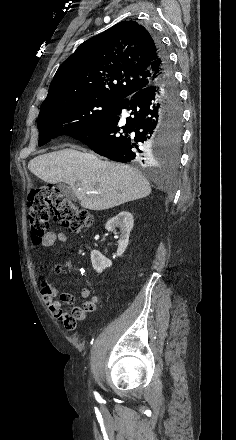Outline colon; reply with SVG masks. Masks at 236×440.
<instances>
[{"mask_svg": "<svg viewBox=\"0 0 236 440\" xmlns=\"http://www.w3.org/2000/svg\"><path fill=\"white\" fill-rule=\"evenodd\" d=\"M70 231L79 233L91 225L92 214L74 201L63 195L57 188L50 185L38 186L31 190L28 197V213L32 231V241L39 244L49 228L50 212ZM57 266L56 270L60 271ZM49 291L51 287L48 286ZM64 321H75L67 315Z\"/></svg>", "mask_w": 236, "mask_h": 440, "instance_id": "1", "label": "colon"}]
</instances>
